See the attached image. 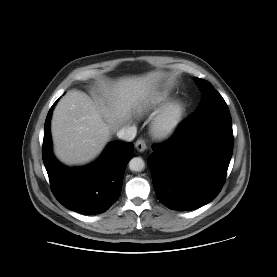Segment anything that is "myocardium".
Here are the masks:
<instances>
[{
	"mask_svg": "<svg viewBox=\"0 0 277 277\" xmlns=\"http://www.w3.org/2000/svg\"><path fill=\"white\" fill-rule=\"evenodd\" d=\"M184 114L185 105L181 100H175L165 105L152 121L153 136L159 140L171 137L179 128Z\"/></svg>",
	"mask_w": 277,
	"mask_h": 277,
	"instance_id": "obj_1",
	"label": "myocardium"
}]
</instances>
